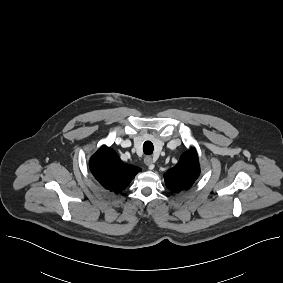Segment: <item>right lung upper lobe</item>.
<instances>
[{"label": "right lung upper lobe", "instance_id": "cb5924a9", "mask_svg": "<svg viewBox=\"0 0 283 283\" xmlns=\"http://www.w3.org/2000/svg\"><path fill=\"white\" fill-rule=\"evenodd\" d=\"M90 169L99 183L114 193L123 191L141 171L139 167L123 163L117 153L107 146H102L91 157Z\"/></svg>", "mask_w": 283, "mask_h": 283}]
</instances>
